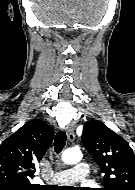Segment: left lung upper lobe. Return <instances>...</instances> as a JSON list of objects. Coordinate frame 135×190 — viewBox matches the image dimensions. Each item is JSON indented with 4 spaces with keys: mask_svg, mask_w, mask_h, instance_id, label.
<instances>
[{
    "mask_svg": "<svg viewBox=\"0 0 135 190\" xmlns=\"http://www.w3.org/2000/svg\"><path fill=\"white\" fill-rule=\"evenodd\" d=\"M82 141L105 174L102 190H135V155L126 140L94 120L85 123Z\"/></svg>",
    "mask_w": 135,
    "mask_h": 190,
    "instance_id": "1",
    "label": "left lung upper lobe"
}]
</instances>
